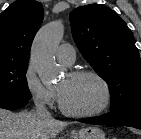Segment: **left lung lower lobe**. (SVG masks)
Returning <instances> with one entry per match:
<instances>
[{
  "instance_id": "obj_1",
  "label": "left lung lower lobe",
  "mask_w": 141,
  "mask_h": 139,
  "mask_svg": "<svg viewBox=\"0 0 141 139\" xmlns=\"http://www.w3.org/2000/svg\"><path fill=\"white\" fill-rule=\"evenodd\" d=\"M78 121L89 124L119 125L141 129V102L129 104L100 117L83 118Z\"/></svg>"
}]
</instances>
